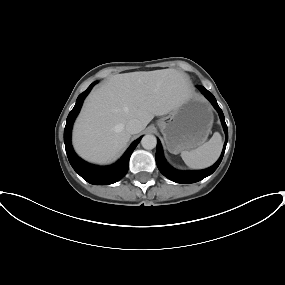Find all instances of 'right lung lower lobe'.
I'll use <instances>...</instances> for the list:
<instances>
[{
    "instance_id": "1",
    "label": "right lung lower lobe",
    "mask_w": 285,
    "mask_h": 285,
    "mask_svg": "<svg viewBox=\"0 0 285 285\" xmlns=\"http://www.w3.org/2000/svg\"><path fill=\"white\" fill-rule=\"evenodd\" d=\"M95 84L96 82L92 83L83 93L78 96L74 108L70 111L64 130V143L71 166L83 179L94 185H109L119 181L126 175L129 168L130 156L142 137L134 141L123 157L111 166L101 167L91 165L76 155L71 145L72 125L80 111L84 98Z\"/></svg>"
}]
</instances>
